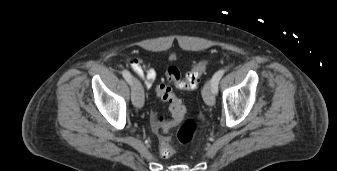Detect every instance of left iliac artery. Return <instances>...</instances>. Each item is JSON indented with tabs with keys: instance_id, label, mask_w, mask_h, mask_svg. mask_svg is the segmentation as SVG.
<instances>
[{
	"instance_id": "44dca946",
	"label": "left iliac artery",
	"mask_w": 337,
	"mask_h": 171,
	"mask_svg": "<svg viewBox=\"0 0 337 171\" xmlns=\"http://www.w3.org/2000/svg\"><path fill=\"white\" fill-rule=\"evenodd\" d=\"M224 73H225V70L221 69V70L217 71L211 79V85H212V89H213L214 94L218 93V83H219L220 79L222 78V76L224 75Z\"/></svg>"
}]
</instances>
